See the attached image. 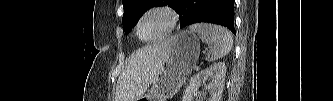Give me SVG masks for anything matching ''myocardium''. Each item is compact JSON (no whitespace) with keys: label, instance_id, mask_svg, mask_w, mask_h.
<instances>
[{"label":"myocardium","instance_id":"1","mask_svg":"<svg viewBox=\"0 0 333 101\" xmlns=\"http://www.w3.org/2000/svg\"><path fill=\"white\" fill-rule=\"evenodd\" d=\"M156 13L163 14L168 17L169 24H168L167 28L162 33H160L152 38H147V39L143 38L140 35V25H141L142 21L147 16H149L151 14H156ZM178 22H179V15L173 8H171L169 6H155V7H152L150 9L144 11L139 16V18L136 22V25H135L136 35L140 40H142L144 42H153V41L162 39V38L168 36L170 33H172L175 30V28L177 27Z\"/></svg>","mask_w":333,"mask_h":101}]
</instances>
